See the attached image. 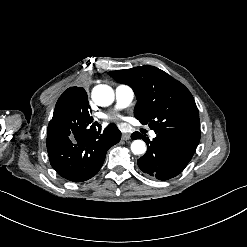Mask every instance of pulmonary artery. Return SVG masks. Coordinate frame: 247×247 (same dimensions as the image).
Here are the masks:
<instances>
[{"mask_svg":"<svg viewBox=\"0 0 247 247\" xmlns=\"http://www.w3.org/2000/svg\"><path fill=\"white\" fill-rule=\"evenodd\" d=\"M115 94H116V103L118 107H124L129 105L134 97H135V91L132 86L128 84H119L115 88ZM155 132H151L150 136L152 138L156 137Z\"/></svg>","mask_w":247,"mask_h":247,"instance_id":"obj_1","label":"pulmonary artery"}]
</instances>
